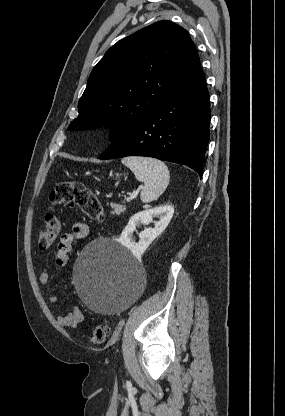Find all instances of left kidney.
<instances>
[{
    "instance_id": "5707ae66",
    "label": "left kidney",
    "mask_w": 285,
    "mask_h": 416,
    "mask_svg": "<svg viewBox=\"0 0 285 416\" xmlns=\"http://www.w3.org/2000/svg\"><path fill=\"white\" fill-rule=\"evenodd\" d=\"M174 214L173 206H159V208H152V210H143L138 212L130 218L125 230H123L119 242L122 246L128 248L132 252L133 256L140 258L141 254H144L145 250L149 248L155 238L160 236L161 232L167 228L172 216ZM153 218H159V222H156L155 228H145L143 232L139 234V242L132 240V234L136 230L137 224L143 222L145 226L151 224Z\"/></svg>"
}]
</instances>
